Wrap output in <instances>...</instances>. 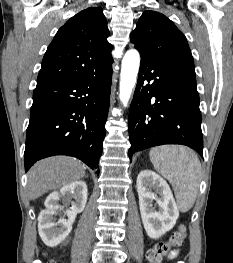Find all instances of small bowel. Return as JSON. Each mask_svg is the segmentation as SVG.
Here are the masks:
<instances>
[{
	"mask_svg": "<svg viewBox=\"0 0 233 263\" xmlns=\"http://www.w3.org/2000/svg\"><path fill=\"white\" fill-rule=\"evenodd\" d=\"M177 255H178V251H172V252L169 254L168 258H169V259H173V258L177 257Z\"/></svg>",
	"mask_w": 233,
	"mask_h": 263,
	"instance_id": "1",
	"label": "small bowel"
}]
</instances>
